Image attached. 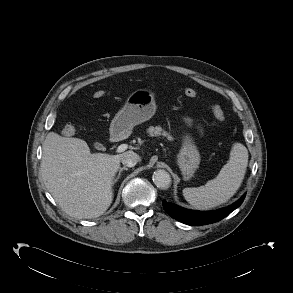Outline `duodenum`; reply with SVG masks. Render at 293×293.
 Segmentation results:
<instances>
[{
    "label": "duodenum",
    "instance_id": "obj_1",
    "mask_svg": "<svg viewBox=\"0 0 293 293\" xmlns=\"http://www.w3.org/2000/svg\"><path fill=\"white\" fill-rule=\"evenodd\" d=\"M123 138H124V134L119 131H116L112 135L111 140H112V142H118V141H121Z\"/></svg>",
    "mask_w": 293,
    "mask_h": 293
}]
</instances>
